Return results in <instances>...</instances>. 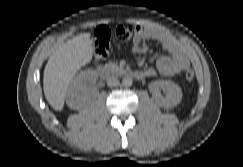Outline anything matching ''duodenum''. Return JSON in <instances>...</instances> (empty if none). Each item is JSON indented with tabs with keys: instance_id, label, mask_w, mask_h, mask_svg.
Here are the masks:
<instances>
[{
	"instance_id": "410a0bca",
	"label": "duodenum",
	"mask_w": 243,
	"mask_h": 167,
	"mask_svg": "<svg viewBox=\"0 0 243 167\" xmlns=\"http://www.w3.org/2000/svg\"><path fill=\"white\" fill-rule=\"evenodd\" d=\"M97 74L99 76H106L109 77L111 75H114L116 73L123 74V75H129L137 79H142L144 77V73L141 71H126L125 69H113L108 68L104 65H99L96 69Z\"/></svg>"
}]
</instances>
